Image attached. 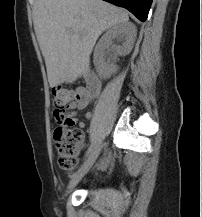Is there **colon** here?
I'll list each match as a JSON object with an SVG mask.
<instances>
[{"label": "colon", "mask_w": 202, "mask_h": 217, "mask_svg": "<svg viewBox=\"0 0 202 217\" xmlns=\"http://www.w3.org/2000/svg\"><path fill=\"white\" fill-rule=\"evenodd\" d=\"M78 92L57 88L53 93V108L56 117L54 142L58 164L65 171H73L78 165V153L84 143V132L70 120L68 110L78 102Z\"/></svg>", "instance_id": "5ec220e1"}]
</instances>
